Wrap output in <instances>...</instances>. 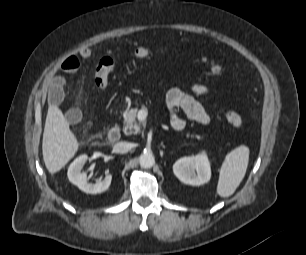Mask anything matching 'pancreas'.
<instances>
[{
    "label": "pancreas",
    "instance_id": "obj_1",
    "mask_svg": "<svg viewBox=\"0 0 306 255\" xmlns=\"http://www.w3.org/2000/svg\"><path fill=\"white\" fill-rule=\"evenodd\" d=\"M138 109L134 108L131 110H128L124 113V127H123V132L126 135H131V134H137L141 132V123L137 122L136 117H137ZM190 135L187 134V137ZM192 138H196L197 140L203 139L200 135H191Z\"/></svg>",
    "mask_w": 306,
    "mask_h": 255
}]
</instances>
